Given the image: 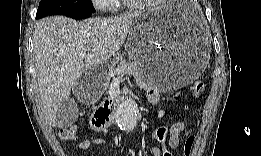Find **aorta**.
Returning <instances> with one entry per match:
<instances>
[{"label":"aorta","mask_w":261,"mask_h":156,"mask_svg":"<svg viewBox=\"0 0 261 156\" xmlns=\"http://www.w3.org/2000/svg\"><path fill=\"white\" fill-rule=\"evenodd\" d=\"M139 121V111L135 101L129 99L122 102L116 113V123L124 132H132Z\"/></svg>","instance_id":"obj_1"}]
</instances>
